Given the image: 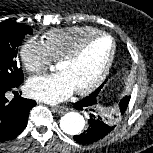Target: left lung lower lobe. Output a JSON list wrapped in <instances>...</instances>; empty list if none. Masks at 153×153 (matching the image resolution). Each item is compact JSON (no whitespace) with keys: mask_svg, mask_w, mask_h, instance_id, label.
<instances>
[{"mask_svg":"<svg viewBox=\"0 0 153 153\" xmlns=\"http://www.w3.org/2000/svg\"><path fill=\"white\" fill-rule=\"evenodd\" d=\"M96 105V95L87 96L74 104L76 109H85L90 112V119L88 120L89 126L86 131L73 137L76 142L84 144L96 142L114 129V127L107 122L105 117L98 113Z\"/></svg>","mask_w":153,"mask_h":153,"instance_id":"0a47b994","label":"left lung lower lobe"}]
</instances>
